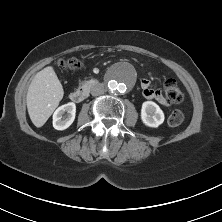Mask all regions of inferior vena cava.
<instances>
[{"label": "inferior vena cava", "instance_id": "1", "mask_svg": "<svg viewBox=\"0 0 222 222\" xmlns=\"http://www.w3.org/2000/svg\"><path fill=\"white\" fill-rule=\"evenodd\" d=\"M104 92H105V87L101 83L96 84L91 88V94L93 96H99V95L103 94Z\"/></svg>", "mask_w": 222, "mask_h": 222}]
</instances>
